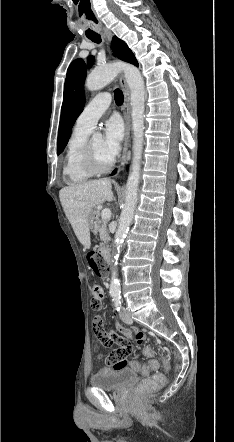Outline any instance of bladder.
<instances>
[{"label":"bladder","mask_w":234,"mask_h":442,"mask_svg":"<svg viewBox=\"0 0 234 442\" xmlns=\"http://www.w3.org/2000/svg\"><path fill=\"white\" fill-rule=\"evenodd\" d=\"M137 376L134 369L102 368L90 377V384L102 390H117L132 382Z\"/></svg>","instance_id":"1"}]
</instances>
